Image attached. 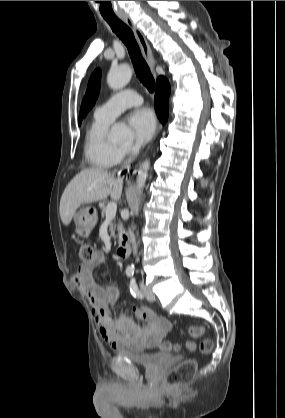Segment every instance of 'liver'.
<instances>
[{
	"label": "liver",
	"instance_id": "obj_1",
	"mask_svg": "<svg viewBox=\"0 0 285 418\" xmlns=\"http://www.w3.org/2000/svg\"><path fill=\"white\" fill-rule=\"evenodd\" d=\"M123 179L101 168L80 171L66 186L60 200V217L68 226L82 204L106 199L118 200L122 194Z\"/></svg>",
	"mask_w": 285,
	"mask_h": 418
}]
</instances>
